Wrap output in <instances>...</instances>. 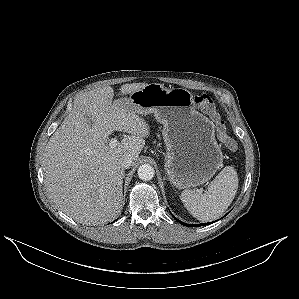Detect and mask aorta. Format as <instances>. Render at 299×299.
<instances>
[{"label":"aorta","mask_w":299,"mask_h":299,"mask_svg":"<svg viewBox=\"0 0 299 299\" xmlns=\"http://www.w3.org/2000/svg\"><path fill=\"white\" fill-rule=\"evenodd\" d=\"M138 177L143 181L151 180L154 177V168L149 164H142L137 170Z\"/></svg>","instance_id":"aorta-1"}]
</instances>
